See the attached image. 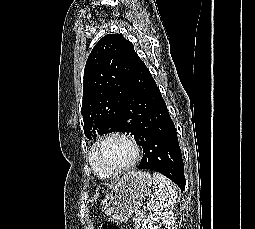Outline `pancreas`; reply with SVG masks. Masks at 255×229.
<instances>
[{
    "label": "pancreas",
    "mask_w": 255,
    "mask_h": 229,
    "mask_svg": "<svg viewBox=\"0 0 255 229\" xmlns=\"http://www.w3.org/2000/svg\"><path fill=\"white\" fill-rule=\"evenodd\" d=\"M145 215L141 212H136L135 217L133 219L134 222V229H140L143 221H144Z\"/></svg>",
    "instance_id": "cf45deb5"
}]
</instances>
